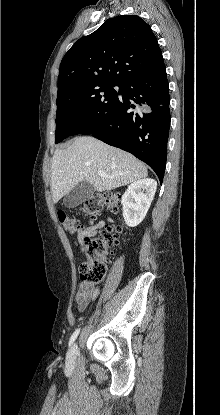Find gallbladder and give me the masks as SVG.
I'll list each match as a JSON object with an SVG mask.
<instances>
[{
	"instance_id": "gallbladder-1",
	"label": "gallbladder",
	"mask_w": 220,
	"mask_h": 415,
	"mask_svg": "<svg viewBox=\"0 0 220 415\" xmlns=\"http://www.w3.org/2000/svg\"><path fill=\"white\" fill-rule=\"evenodd\" d=\"M94 187L88 181L78 183L63 199L67 208H75L94 194Z\"/></svg>"
}]
</instances>
